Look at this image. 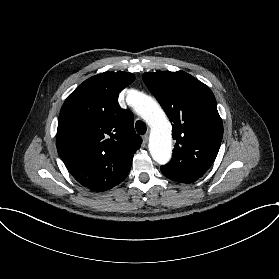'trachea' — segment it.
<instances>
[{"label":"trachea","mask_w":279,"mask_h":279,"mask_svg":"<svg viewBox=\"0 0 279 279\" xmlns=\"http://www.w3.org/2000/svg\"><path fill=\"white\" fill-rule=\"evenodd\" d=\"M136 130L139 134L143 135L146 132V125L142 121H137L135 124Z\"/></svg>","instance_id":"obj_1"}]
</instances>
